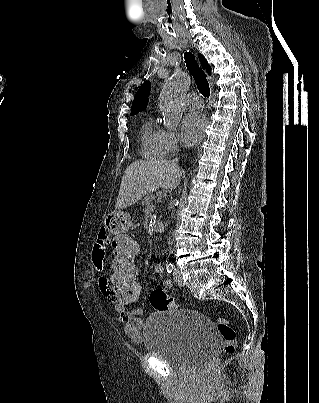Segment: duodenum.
Wrapping results in <instances>:
<instances>
[{
    "label": "duodenum",
    "instance_id": "1",
    "mask_svg": "<svg viewBox=\"0 0 319 403\" xmlns=\"http://www.w3.org/2000/svg\"><path fill=\"white\" fill-rule=\"evenodd\" d=\"M154 231L156 233H159V234H164L165 233V225L160 221L155 222Z\"/></svg>",
    "mask_w": 319,
    "mask_h": 403
}]
</instances>
